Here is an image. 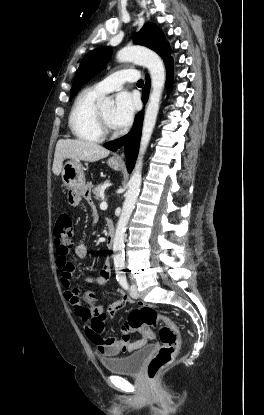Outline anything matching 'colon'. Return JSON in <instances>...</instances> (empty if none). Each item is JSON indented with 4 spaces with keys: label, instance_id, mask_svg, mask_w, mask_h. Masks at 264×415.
<instances>
[{
    "label": "colon",
    "instance_id": "obj_1",
    "mask_svg": "<svg viewBox=\"0 0 264 415\" xmlns=\"http://www.w3.org/2000/svg\"><path fill=\"white\" fill-rule=\"evenodd\" d=\"M55 241L60 249L68 250L73 242L72 220L69 214L62 213L59 215L54 229ZM94 294L89 293L85 297L86 302H92ZM89 320L94 335L91 337L94 341L102 339L100 332L104 327L106 314L104 311L90 304ZM162 323L159 331V337L162 347L158 353L152 358L147 367V375L151 381H156L164 368H166L173 360L175 354L180 349L181 336L177 324L167 315L157 311L153 306L142 305L133 311L126 321V327L122 329L119 336L120 340L127 343L130 339L128 328H134L144 336L152 339L154 337L150 326L155 323Z\"/></svg>",
    "mask_w": 264,
    "mask_h": 415
}]
</instances>
